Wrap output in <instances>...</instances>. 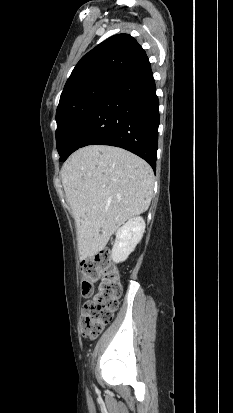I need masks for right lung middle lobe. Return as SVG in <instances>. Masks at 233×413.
<instances>
[{
	"label": "right lung middle lobe",
	"mask_w": 233,
	"mask_h": 413,
	"mask_svg": "<svg viewBox=\"0 0 233 413\" xmlns=\"http://www.w3.org/2000/svg\"><path fill=\"white\" fill-rule=\"evenodd\" d=\"M115 80L114 77H100L60 97L55 133L60 161L66 156L78 132Z\"/></svg>",
	"instance_id": "1"
}]
</instances>
